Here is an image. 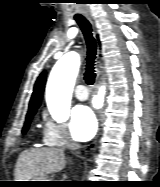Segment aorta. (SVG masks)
<instances>
[{"instance_id":"obj_1","label":"aorta","mask_w":160,"mask_h":187,"mask_svg":"<svg viewBox=\"0 0 160 187\" xmlns=\"http://www.w3.org/2000/svg\"><path fill=\"white\" fill-rule=\"evenodd\" d=\"M79 67V55L69 52L57 61L50 73L46 87V103L49 112L57 120L64 119L69 112ZM105 93V86H101L93 99L96 108L103 106Z\"/></svg>"}]
</instances>
